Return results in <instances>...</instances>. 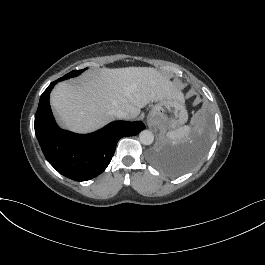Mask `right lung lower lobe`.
Returning <instances> with one entry per match:
<instances>
[{
	"label": "right lung lower lobe",
	"instance_id": "obj_1",
	"mask_svg": "<svg viewBox=\"0 0 265 265\" xmlns=\"http://www.w3.org/2000/svg\"><path fill=\"white\" fill-rule=\"evenodd\" d=\"M59 81L62 79L52 82L41 95L35 115V134L46 159L60 174L75 181H86L107 168L120 138L137 135L145 125L115 121L87 135L60 129L49 103L50 92Z\"/></svg>",
	"mask_w": 265,
	"mask_h": 265
}]
</instances>
